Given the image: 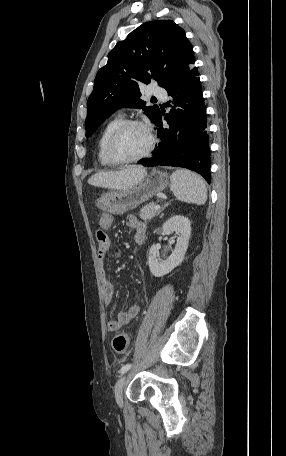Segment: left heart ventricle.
<instances>
[{
	"mask_svg": "<svg viewBox=\"0 0 286 456\" xmlns=\"http://www.w3.org/2000/svg\"><path fill=\"white\" fill-rule=\"evenodd\" d=\"M149 145V137L144 128L130 126L117 138L114 153L118 158L131 159L142 155Z\"/></svg>",
	"mask_w": 286,
	"mask_h": 456,
	"instance_id": "left-heart-ventricle-1",
	"label": "left heart ventricle"
}]
</instances>
